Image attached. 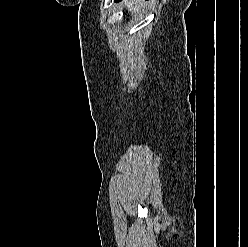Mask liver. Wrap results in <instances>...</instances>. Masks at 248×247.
<instances>
[{"mask_svg": "<svg viewBox=\"0 0 248 247\" xmlns=\"http://www.w3.org/2000/svg\"><path fill=\"white\" fill-rule=\"evenodd\" d=\"M143 3V0H127L125 1V6H127L130 12L133 14V12L138 10L143 5Z\"/></svg>", "mask_w": 248, "mask_h": 247, "instance_id": "6515ba94", "label": "liver"}]
</instances>
